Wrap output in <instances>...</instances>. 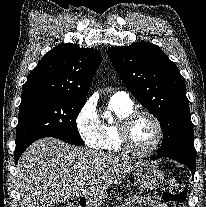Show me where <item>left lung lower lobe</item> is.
<instances>
[{
    "mask_svg": "<svg viewBox=\"0 0 206 207\" xmlns=\"http://www.w3.org/2000/svg\"><path fill=\"white\" fill-rule=\"evenodd\" d=\"M169 158H171V157H169ZM172 159H174L182 164L187 165L192 172V176H194L195 170H196V161L183 160V159H178V158H172Z\"/></svg>",
    "mask_w": 206,
    "mask_h": 207,
    "instance_id": "left-lung-lower-lobe-1",
    "label": "left lung lower lobe"
}]
</instances>
